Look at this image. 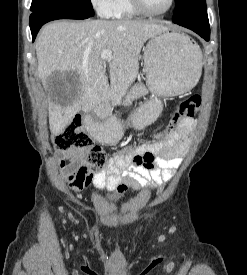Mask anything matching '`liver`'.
<instances>
[{"label": "liver", "instance_id": "1", "mask_svg": "<svg viewBox=\"0 0 247 275\" xmlns=\"http://www.w3.org/2000/svg\"><path fill=\"white\" fill-rule=\"evenodd\" d=\"M154 21L86 20L55 21L40 32L35 49L38 75L46 86L54 72L76 74L80 87L65 103L49 100V126L53 135L62 133L79 112L92 111L111 101L120 104L137 77L141 49L149 38L166 31ZM110 50V85L101 53Z\"/></svg>", "mask_w": 247, "mask_h": 275}]
</instances>
